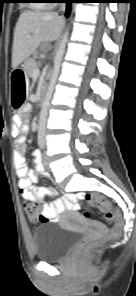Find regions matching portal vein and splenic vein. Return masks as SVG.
Segmentation results:
<instances>
[{"mask_svg":"<svg viewBox=\"0 0 136 296\" xmlns=\"http://www.w3.org/2000/svg\"><path fill=\"white\" fill-rule=\"evenodd\" d=\"M27 37H30V34H28ZM39 73H40L39 68H35L34 71H33V75H34V76H38Z\"/></svg>","mask_w":136,"mask_h":296,"instance_id":"18ae733b","label":"portal vein and splenic vein"}]
</instances>
